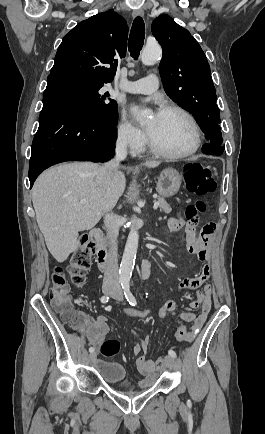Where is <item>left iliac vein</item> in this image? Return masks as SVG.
<instances>
[{"label": "left iliac vein", "instance_id": "obj_1", "mask_svg": "<svg viewBox=\"0 0 265 434\" xmlns=\"http://www.w3.org/2000/svg\"><path fill=\"white\" fill-rule=\"evenodd\" d=\"M111 297L115 300L121 301L123 299L122 289L120 287H115L114 291L111 293ZM164 366L166 368L174 369L175 368V360L172 356L167 355L165 357Z\"/></svg>", "mask_w": 265, "mask_h": 434}]
</instances>
